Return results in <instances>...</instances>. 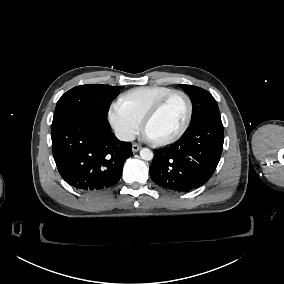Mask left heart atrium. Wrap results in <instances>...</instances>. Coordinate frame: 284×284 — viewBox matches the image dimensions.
<instances>
[{"label":"left heart atrium","instance_id":"39dd6f15","mask_svg":"<svg viewBox=\"0 0 284 284\" xmlns=\"http://www.w3.org/2000/svg\"><path fill=\"white\" fill-rule=\"evenodd\" d=\"M145 136H146L147 138H149L147 134H145Z\"/></svg>","mask_w":284,"mask_h":284}]
</instances>
